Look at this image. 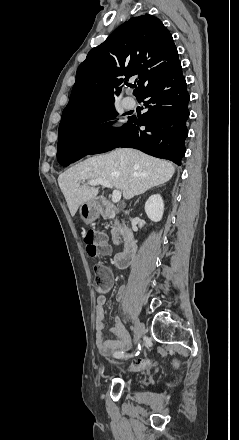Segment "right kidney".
Here are the masks:
<instances>
[{
	"label": "right kidney",
	"instance_id": "right-kidney-1",
	"mask_svg": "<svg viewBox=\"0 0 239 440\" xmlns=\"http://www.w3.org/2000/svg\"><path fill=\"white\" fill-rule=\"evenodd\" d=\"M145 212L152 222H160L164 212V204L160 194L150 196L145 204Z\"/></svg>",
	"mask_w": 239,
	"mask_h": 440
}]
</instances>
